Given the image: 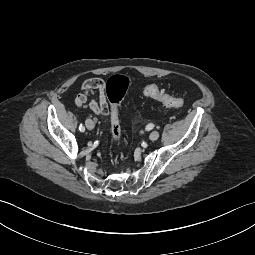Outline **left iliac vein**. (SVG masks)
Returning <instances> with one entry per match:
<instances>
[{"instance_id": "obj_1", "label": "left iliac vein", "mask_w": 255, "mask_h": 255, "mask_svg": "<svg viewBox=\"0 0 255 255\" xmlns=\"http://www.w3.org/2000/svg\"><path fill=\"white\" fill-rule=\"evenodd\" d=\"M150 140L155 141L159 138V132L158 131H153L151 132L149 136Z\"/></svg>"}]
</instances>
